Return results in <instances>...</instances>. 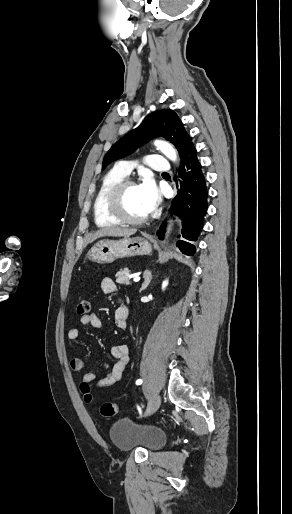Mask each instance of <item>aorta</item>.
I'll use <instances>...</instances> for the list:
<instances>
[{"label": "aorta", "mask_w": 292, "mask_h": 514, "mask_svg": "<svg viewBox=\"0 0 292 514\" xmlns=\"http://www.w3.org/2000/svg\"><path fill=\"white\" fill-rule=\"evenodd\" d=\"M154 144L155 146H157V150H160V152H162V154H164L166 158H169V160H173V162L177 160L176 150H174L171 144H168V142H162V140H156Z\"/></svg>", "instance_id": "1"}]
</instances>
